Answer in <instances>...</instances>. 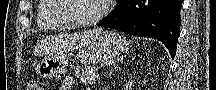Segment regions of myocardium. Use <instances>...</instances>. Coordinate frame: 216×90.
I'll list each match as a JSON object with an SVG mask.
<instances>
[{
	"label": "myocardium",
	"mask_w": 216,
	"mask_h": 90,
	"mask_svg": "<svg viewBox=\"0 0 216 90\" xmlns=\"http://www.w3.org/2000/svg\"><path fill=\"white\" fill-rule=\"evenodd\" d=\"M58 3L61 8H58V11H56V18H62L64 22L71 28H92V26L99 23L103 19L109 10L108 4L103 1L101 9L95 17L87 21H76L68 16L70 9H72V5H70L72 0H58Z\"/></svg>",
	"instance_id": "1"
}]
</instances>
